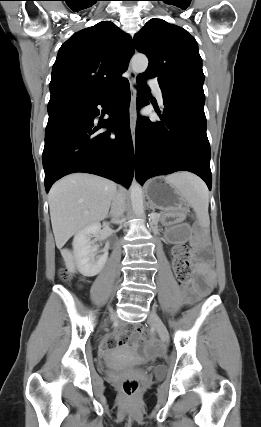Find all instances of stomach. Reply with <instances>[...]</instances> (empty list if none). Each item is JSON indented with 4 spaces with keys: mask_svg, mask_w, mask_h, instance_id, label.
Segmentation results:
<instances>
[{
    "mask_svg": "<svg viewBox=\"0 0 261 427\" xmlns=\"http://www.w3.org/2000/svg\"><path fill=\"white\" fill-rule=\"evenodd\" d=\"M150 204L163 211L164 215L181 220L187 211V201L180 190L166 178H154L146 184Z\"/></svg>",
    "mask_w": 261,
    "mask_h": 427,
    "instance_id": "obj_1",
    "label": "stomach"
}]
</instances>
